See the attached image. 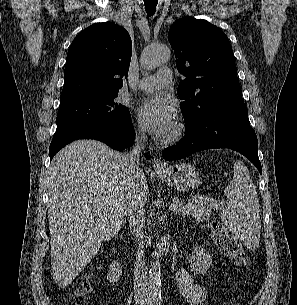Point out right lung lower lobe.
I'll list each match as a JSON object with an SVG mask.
<instances>
[{
    "label": "right lung lower lobe",
    "mask_w": 297,
    "mask_h": 305,
    "mask_svg": "<svg viewBox=\"0 0 297 305\" xmlns=\"http://www.w3.org/2000/svg\"><path fill=\"white\" fill-rule=\"evenodd\" d=\"M135 132L132 121L127 123H103L94 124L75 130L56 143L50 144V160L54 155L68 143L77 139L99 140L113 149L122 150L132 146ZM149 159V156H146Z\"/></svg>",
    "instance_id": "98d812e1"
}]
</instances>
